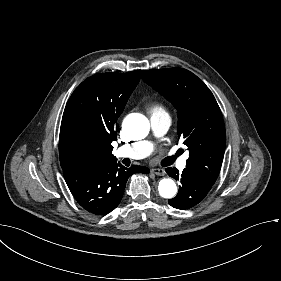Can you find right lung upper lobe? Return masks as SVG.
Returning a JSON list of instances; mask_svg holds the SVG:
<instances>
[{
	"instance_id": "cb5924a9",
	"label": "right lung upper lobe",
	"mask_w": 281,
	"mask_h": 281,
	"mask_svg": "<svg viewBox=\"0 0 281 281\" xmlns=\"http://www.w3.org/2000/svg\"><path fill=\"white\" fill-rule=\"evenodd\" d=\"M140 80V70L99 73L83 81L69 98L60 128L62 168L116 162L111 143L115 123Z\"/></svg>"
}]
</instances>
